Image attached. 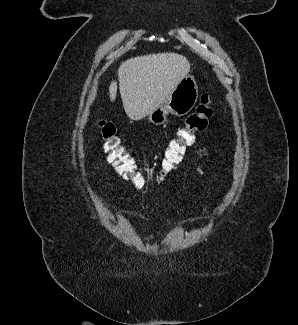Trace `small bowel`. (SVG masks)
Segmentation results:
<instances>
[{
  "label": "small bowel",
  "mask_w": 298,
  "mask_h": 325,
  "mask_svg": "<svg viewBox=\"0 0 298 325\" xmlns=\"http://www.w3.org/2000/svg\"><path fill=\"white\" fill-rule=\"evenodd\" d=\"M197 172H198L200 175H203V174H204L202 168H200V167L197 168ZM183 188H184V187H183Z\"/></svg>",
  "instance_id": "small-bowel-1"
}]
</instances>
